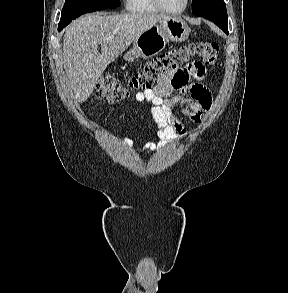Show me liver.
Masks as SVG:
<instances>
[{
    "instance_id": "obj_1",
    "label": "liver",
    "mask_w": 288,
    "mask_h": 293,
    "mask_svg": "<svg viewBox=\"0 0 288 293\" xmlns=\"http://www.w3.org/2000/svg\"><path fill=\"white\" fill-rule=\"evenodd\" d=\"M166 17L133 12L87 14L68 25L64 34L63 63L67 86L73 91L75 101H86L106 67L143 32ZM98 44H101V53Z\"/></svg>"
}]
</instances>
